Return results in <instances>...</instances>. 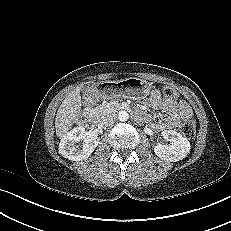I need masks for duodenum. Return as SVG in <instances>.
Instances as JSON below:
<instances>
[{"label": "duodenum", "mask_w": 231, "mask_h": 231, "mask_svg": "<svg viewBox=\"0 0 231 231\" xmlns=\"http://www.w3.org/2000/svg\"><path fill=\"white\" fill-rule=\"evenodd\" d=\"M106 89L103 88L102 91L104 92ZM119 108L121 110H131V106L128 104H122L119 106ZM134 116L139 118V112H134ZM96 117V114L94 113V109L92 105H88L86 110H85V114H84V118L86 121H93Z\"/></svg>", "instance_id": "410a0bca"}]
</instances>
